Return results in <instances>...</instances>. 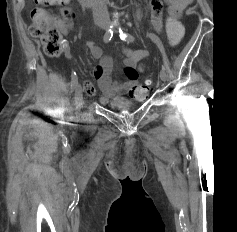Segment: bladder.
I'll return each mask as SVG.
<instances>
[{
	"label": "bladder",
	"instance_id": "obj_1",
	"mask_svg": "<svg viewBox=\"0 0 237 232\" xmlns=\"http://www.w3.org/2000/svg\"><path fill=\"white\" fill-rule=\"evenodd\" d=\"M131 106V103H114L112 104V107L113 108H127V107H130Z\"/></svg>",
	"mask_w": 237,
	"mask_h": 232
}]
</instances>
